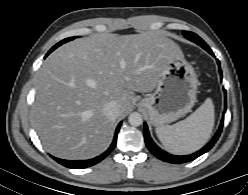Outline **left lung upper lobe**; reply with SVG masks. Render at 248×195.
Segmentation results:
<instances>
[{"instance_id":"obj_1","label":"left lung upper lobe","mask_w":248,"mask_h":195,"mask_svg":"<svg viewBox=\"0 0 248 195\" xmlns=\"http://www.w3.org/2000/svg\"><path fill=\"white\" fill-rule=\"evenodd\" d=\"M183 35L187 39H189V40L195 42L196 44L200 45L202 48H204V49L209 48V46L197 34H195L193 32L183 31Z\"/></svg>"}]
</instances>
